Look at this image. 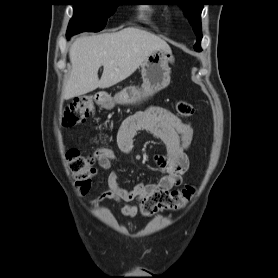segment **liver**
Here are the masks:
<instances>
[{"mask_svg":"<svg viewBox=\"0 0 278 278\" xmlns=\"http://www.w3.org/2000/svg\"><path fill=\"white\" fill-rule=\"evenodd\" d=\"M158 49L167 51L170 47L160 37L133 27L76 39L69 50L72 70L64 87V98L116 85L132 75ZM101 66L103 73L99 79Z\"/></svg>","mask_w":278,"mask_h":278,"instance_id":"6515ba94","label":"liver"}]
</instances>
